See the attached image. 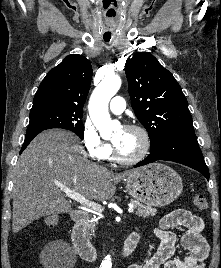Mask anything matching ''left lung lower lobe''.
Returning a JSON list of instances; mask_svg holds the SVG:
<instances>
[{
    "mask_svg": "<svg viewBox=\"0 0 221 268\" xmlns=\"http://www.w3.org/2000/svg\"><path fill=\"white\" fill-rule=\"evenodd\" d=\"M157 160L177 162L202 173L209 180V171L199 148L194 132H181L171 135L155 147H150V154L135 167Z\"/></svg>",
    "mask_w": 221,
    "mask_h": 268,
    "instance_id": "0a47b994",
    "label": "left lung lower lobe"
}]
</instances>
